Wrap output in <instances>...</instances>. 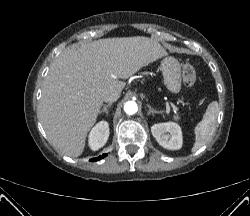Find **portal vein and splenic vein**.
Segmentation results:
<instances>
[{
  "label": "portal vein and splenic vein",
  "mask_w": 250,
  "mask_h": 216,
  "mask_svg": "<svg viewBox=\"0 0 250 216\" xmlns=\"http://www.w3.org/2000/svg\"><path fill=\"white\" fill-rule=\"evenodd\" d=\"M114 77V76H113ZM174 111H177V108L173 106Z\"/></svg>",
  "instance_id": "1"
}]
</instances>
